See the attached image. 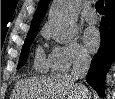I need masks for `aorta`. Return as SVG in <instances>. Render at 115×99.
I'll list each match as a JSON object with an SVG mask.
<instances>
[{"mask_svg":"<svg viewBox=\"0 0 115 99\" xmlns=\"http://www.w3.org/2000/svg\"><path fill=\"white\" fill-rule=\"evenodd\" d=\"M79 5L73 0H55L49 14V26L56 41L66 44L74 34Z\"/></svg>","mask_w":115,"mask_h":99,"instance_id":"aorta-1","label":"aorta"}]
</instances>
